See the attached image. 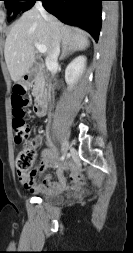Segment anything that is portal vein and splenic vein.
Returning <instances> with one entry per match:
<instances>
[{
	"instance_id": "1",
	"label": "portal vein and splenic vein",
	"mask_w": 133,
	"mask_h": 253,
	"mask_svg": "<svg viewBox=\"0 0 133 253\" xmlns=\"http://www.w3.org/2000/svg\"><path fill=\"white\" fill-rule=\"evenodd\" d=\"M35 47L37 48V50L40 52V53H46L47 51V48L45 45L41 44V43H38V42H35L34 43Z\"/></svg>"
}]
</instances>
